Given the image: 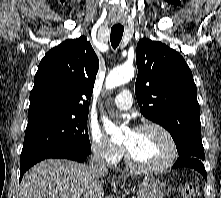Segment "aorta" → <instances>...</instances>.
<instances>
[{
    "label": "aorta",
    "mask_w": 221,
    "mask_h": 198,
    "mask_svg": "<svg viewBox=\"0 0 221 198\" xmlns=\"http://www.w3.org/2000/svg\"><path fill=\"white\" fill-rule=\"evenodd\" d=\"M135 69L132 66H121L111 71L106 78V88L113 89L123 85L134 77ZM104 129L111 136L112 141L119 140L123 137L121 128L115 126L107 119H103Z\"/></svg>",
    "instance_id": "762f6f07"
}]
</instances>
